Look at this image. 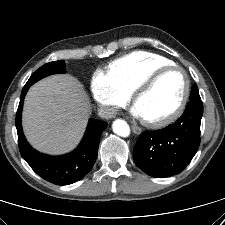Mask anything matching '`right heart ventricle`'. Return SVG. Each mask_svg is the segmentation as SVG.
<instances>
[{"label":"right heart ventricle","instance_id":"e07e8e85","mask_svg":"<svg viewBox=\"0 0 225 225\" xmlns=\"http://www.w3.org/2000/svg\"><path fill=\"white\" fill-rule=\"evenodd\" d=\"M173 64L168 58L146 51H134L114 60L108 74L125 93L131 95L152 72Z\"/></svg>","mask_w":225,"mask_h":225}]
</instances>
